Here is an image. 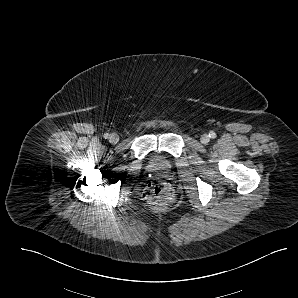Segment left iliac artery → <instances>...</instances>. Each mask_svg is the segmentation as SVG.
<instances>
[{
    "label": "left iliac artery",
    "mask_w": 298,
    "mask_h": 298,
    "mask_svg": "<svg viewBox=\"0 0 298 298\" xmlns=\"http://www.w3.org/2000/svg\"><path fill=\"white\" fill-rule=\"evenodd\" d=\"M209 137H210V138H215V137H216V134H215L213 131H211V132L209 133Z\"/></svg>",
    "instance_id": "left-iliac-artery-1"
}]
</instances>
